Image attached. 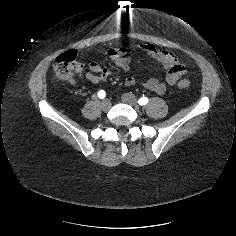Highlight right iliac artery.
<instances>
[{
    "instance_id": "obj_1",
    "label": "right iliac artery",
    "mask_w": 236,
    "mask_h": 236,
    "mask_svg": "<svg viewBox=\"0 0 236 236\" xmlns=\"http://www.w3.org/2000/svg\"><path fill=\"white\" fill-rule=\"evenodd\" d=\"M97 95H98V97H99L100 99H103V98H105L106 93H105L104 90H100Z\"/></svg>"
}]
</instances>
